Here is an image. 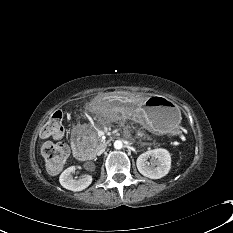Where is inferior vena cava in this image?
Instances as JSON below:
<instances>
[{"label":"inferior vena cava","mask_w":233,"mask_h":233,"mask_svg":"<svg viewBox=\"0 0 233 233\" xmlns=\"http://www.w3.org/2000/svg\"><path fill=\"white\" fill-rule=\"evenodd\" d=\"M105 151V148H100L97 150V155H101Z\"/></svg>","instance_id":"obj_1"}]
</instances>
